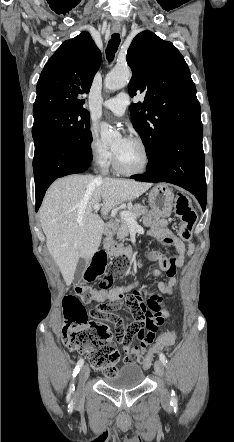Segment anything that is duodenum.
<instances>
[{
  "instance_id": "1",
  "label": "duodenum",
  "mask_w": 234,
  "mask_h": 442,
  "mask_svg": "<svg viewBox=\"0 0 234 442\" xmlns=\"http://www.w3.org/2000/svg\"><path fill=\"white\" fill-rule=\"evenodd\" d=\"M116 231V224L113 222H109L104 227V233L107 237H112L115 234ZM112 255L118 257H125L127 259L132 258L133 252L130 248H112L111 249Z\"/></svg>"
}]
</instances>
